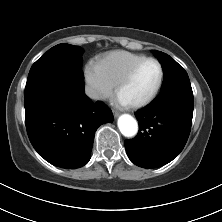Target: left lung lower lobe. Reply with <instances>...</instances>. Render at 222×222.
Here are the masks:
<instances>
[{"label": "left lung lower lobe", "instance_id": "1", "mask_svg": "<svg viewBox=\"0 0 222 222\" xmlns=\"http://www.w3.org/2000/svg\"><path fill=\"white\" fill-rule=\"evenodd\" d=\"M193 107L192 88L161 92L135 114L138 135L124 142L129 159L143 168H156L172 161L187 142Z\"/></svg>", "mask_w": 222, "mask_h": 222}]
</instances>
